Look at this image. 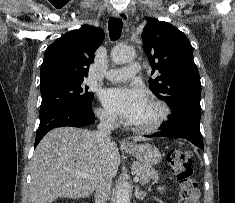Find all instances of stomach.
<instances>
[{
    "label": "stomach",
    "mask_w": 235,
    "mask_h": 203,
    "mask_svg": "<svg viewBox=\"0 0 235 203\" xmlns=\"http://www.w3.org/2000/svg\"><path fill=\"white\" fill-rule=\"evenodd\" d=\"M125 150L136 157L141 165L153 166L161 161V153L155 146L151 144H134L125 147Z\"/></svg>",
    "instance_id": "stomach-1"
}]
</instances>
